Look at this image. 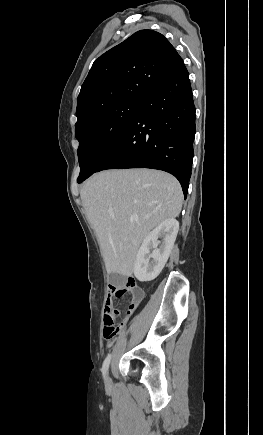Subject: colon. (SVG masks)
I'll return each instance as SVG.
<instances>
[{
    "label": "colon",
    "instance_id": "obj_1",
    "mask_svg": "<svg viewBox=\"0 0 263 435\" xmlns=\"http://www.w3.org/2000/svg\"><path fill=\"white\" fill-rule=\"evenodd\" d=\"M126 291H131L133 297L135 299H139L142 295L140 289L136 287V283L133 279H129L126 281L124 285L119 286H110V296L120 298L122 297ZM134 308V305L131 306V310ZM117 314V310H110L104 314V337L106 339H111L115 337L120 331V326L115 324V316Z\"/></svg>",
    "mask_w": 263,
    "mask_h": 435
}]
</instances>
